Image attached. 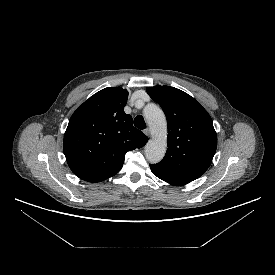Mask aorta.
<instances>
[{
    "label": "aorta",
    "instance_id": "762f6f07",
    "mask_svg": "<svg viewBox=\"0 0 275 275\" xmlns=\"http://www.w3.org/2000/svg\"><path fill=\"white\" fill-rule=\"evenodd\" d=\"M152 139L145 146V156L150 163H158L165 156L167 149V122L163 111L150 104L144 109Z\"/></svg>",
    "mask_w": 275,
    "mask_h": 275
}]
</instances>
